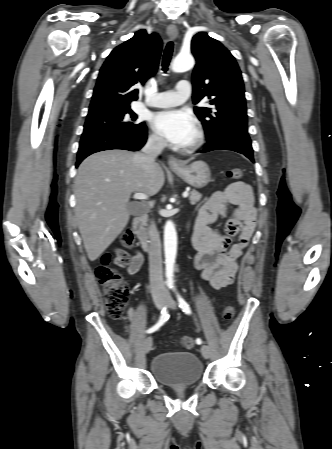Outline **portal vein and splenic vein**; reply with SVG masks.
I'll list each match as a JSON object with an SVG mask.
<instances>
[{
	"label": "portal vein and splenic vein",
	"mask_w": 332,
	"mask_h": 449,
	"mask_svg": "<svg viewBox=\"0 0 332 449\" xmlns=\"http://www.w3.org/2000/svg\"><path fill=\"white\" fill-rule=\"evenodd\" d=\"M188 195H189L188 192H184V193H183V197H184V198H187ZM133 198H134V199H147L148 196H147L146 194H143V193H135L134 196H133Z\"/></svg>",
	"instance_id": "1"
}]
</instances>
